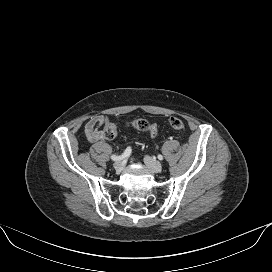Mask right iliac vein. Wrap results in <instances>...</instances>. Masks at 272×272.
Segmentation results:
<instances>
[{
  "instance_id": "63e3f726",
  "label": "right iliac vein",
  "mask_w": 272,
  "mask_h": 272,
  "mask_svg": "<svg viewBox=\"0 0 272 272\" xmlns=\"http://www.w3.org/2000/svg\"><path fill=\"white\" fill-rule=\"evenodd\" d=\"M113 166L116 171H121L123 169L124 163L121 160H117L116 162H114Z\"/></svg>"
}]
</instances>
